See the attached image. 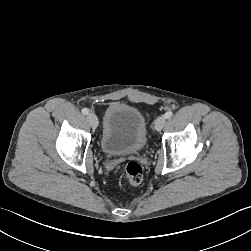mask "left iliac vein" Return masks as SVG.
<instances>
[{
	"label": "left iliac vein",
	"instance_id": "4c4485c4",
	"mask_svg": "<svg viewBox=\"0 0 251 251\" xmlns=\"http://www.w3.org/2000/svg\"><path fill=\"white\" fill-rule=\"evenodd\" d=\"M165 122H166L165 117H163V116L159 117L155 122V130L161 131L165 125Z\"/></svg>",
	"mask_w": 251,
	"mask_h": 251
}]
</instances>
